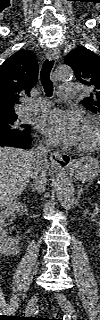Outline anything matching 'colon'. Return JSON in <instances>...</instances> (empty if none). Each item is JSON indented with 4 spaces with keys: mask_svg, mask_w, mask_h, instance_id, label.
<instances>
[{
    "mask_svg": "<svg viewBox=\"0 0 100 320\" xmlns=\"http://www.w3.org/2000/svg\"><path fill=\"white\" fill-rule=\"evenodd\" d=\"M52 320H60V319H52Z\"/></svg>",
    "mask_w": 100,
    "mask_h": 320,
    "instance_id": "5ec220e1",
    "label": "colon"
}]
</instances>
